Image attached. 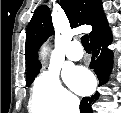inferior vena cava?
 <instances>
[{"instance_id":"inferior-vena-cava-1","label":"inferior vena cava","mask_w":121,"mask_h":113,"mask_svg":"<svg viewBox=\"0 0 121 113\" xmlns=\"http://www.w3.org/2000/svg\"><path fill=\"white\" fill-rule=\"evenodd\" d=\"M70 113H79V101L76 100L71 104V111Z\"/></svg>"}]
</instances>
